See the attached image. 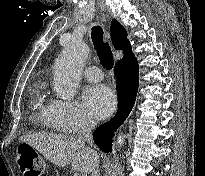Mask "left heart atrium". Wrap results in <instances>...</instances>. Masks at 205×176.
Instances as JSON below:
<instances>
[{
    "mask_svg": "<svg viewBox=\"0 0 205 176\" xmlns=\"http://www.w3.org/2000/svg\"><path fill=\"white\" fill-rule=\"evenodd\" d=\"M83 101L87 110L98 118L107 117L116 106V97L105 85H91L83 91Z\"/></svg>",
    "mask_w": 205,
    "mask_h": 176,
    "instance_id": "obj_1",
    "label": "left heart atrium"
}]
</instances>
